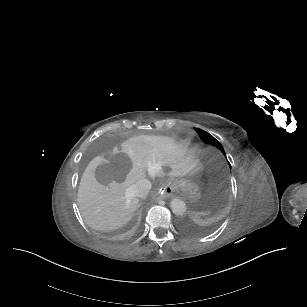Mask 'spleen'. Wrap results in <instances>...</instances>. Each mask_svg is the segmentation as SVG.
Masks as SVG:
<instances>
[{
    "label": "spleen",
    "instance_id": "spleen-1",
    "mask_svg": "<svg viewBox=\"0 0 307 307\" xmlns=\"http://www.w3.org/2000/svg\"><path fill=\"white\" fill-rule=\"evenodd\" d=\"M189 214L190 215H193V216H196L197 215V212L196 211H193V210H190L189 211ZM212 214V211L211 210H201L199 212V215L200 216H203V215H211Z\"/></svg>",
    "mask_w": 307,
    "mask_h": 307
}]
</instances>
